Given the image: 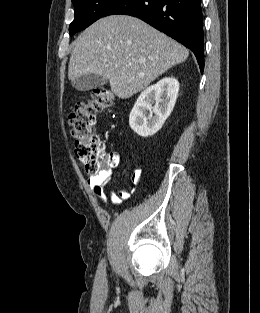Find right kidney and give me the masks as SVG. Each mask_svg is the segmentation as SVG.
I'll return each instance as SVG.
<instances>
[{"instance_id": "ca27d5eb", "label": "right kidney", "mask_w": 260, "mask_h": 313, "mask_svg": "<svg viewBox=\"0 0 260 313\" xmlns=\"http://www.w3.org/2000/svg\"><path fill=\"white\" fill-rule=\"evenodd\" d=\"M178 91L179 82L174 77H165L145 89L130 113L131 129L142 137L158 132L174 108Z\"/></svg>"}]
</instances>
